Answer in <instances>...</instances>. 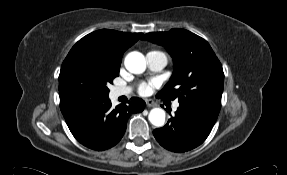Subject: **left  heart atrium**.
Masks as SVG:
<instances>
[{
	"label": "left heart atrium",
	"mask_w": 287,
	"mask_h": 175,
	"mask_svg": "<svg viewBox=\"0 0 287 175\" xmlns=\"http://www.w3.org/2000/svg\"><path fill=\"white\" fill-rule=\"evenodd\" d=\"M157 85L156 81L152 82H142L139 85L138 92L141 95H149L152 92V89Z\"/></svg>",
	"instance_id": "39dd6f15"
}]
</instances>
